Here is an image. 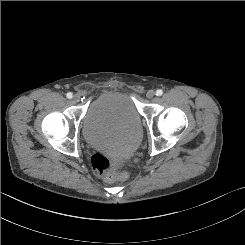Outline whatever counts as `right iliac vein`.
Here are the masks:
<instances>
[{
  "mask_svg": "<svg viewBox=\"0 0 245 245\" xmlns=\"http://www.w3.org/2000/svg\"><path fill=\"white\" fill-rule=\"evenodd\" d=\"M79 99H80V96L77 95V94H75V95L72 97V100H73V102H75V103L78 102Z\"/></svg>",
  "mask_w": 245,
  "mask_h": 245,
  "instance_id": "obj_1",
  "label": "right iliac vein"
}]
</instances>
